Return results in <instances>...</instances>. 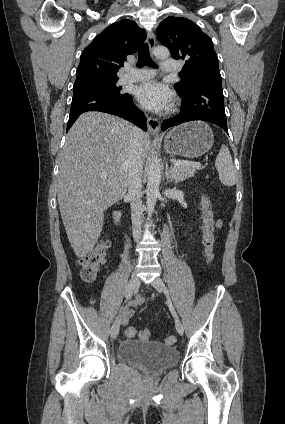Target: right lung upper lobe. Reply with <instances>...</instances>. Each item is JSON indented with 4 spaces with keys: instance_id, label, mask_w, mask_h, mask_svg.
<instances>
[{
    "instance_id": "1",
    "label": "right lung upper lobe",
    "mask_w": 285,
    "mask_h": 424,
    "mask_svg": "<svg viewBox=\"0 0 285 424\" xmlns=\"http://www.w3.org/2000/svg\"><path fill=\"white\" fill-rule=\"evenodd\" d=\"M145 39L146 32L132 20L111 24L82 52L75 84L118 80V69L127 55L133 54Z\"/></svg>"
}]
</instances>
